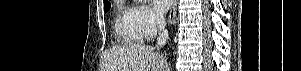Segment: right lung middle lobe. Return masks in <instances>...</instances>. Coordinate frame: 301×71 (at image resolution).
Masks as SVG:
<instances>
[{
    "mask_svg": "<svg viewBox=\"0 0 301 71\" xmlns=\"http://www.w3.org/2000/svg\"><path fill=\"white\" fill-rule=\"evenodd\" d=\"M110 7H111L110 3L104 5V11L107 12L110 9Z\"/></svg>",
    "mask_w": 301,
    "mask_h": 71,
    "instance_id": "dd1d6c3e",
    "label": "right lung middle lobe"
}]
</instances>
